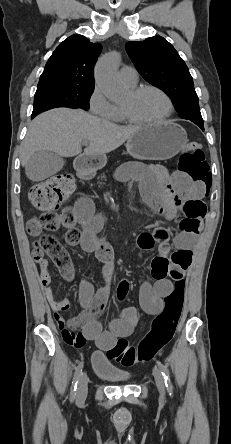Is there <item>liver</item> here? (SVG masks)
Segmentation results:
<instances>
[{"mask_svg": "<svg viewBox=\"0 0 231 444\" xmlns=\"http://www.w3.org/2000/svg\"><path fill=\"white\" fill-rule=\"evenodd\" d=\"M142 127L120 126L97 118L83 110L56 108L38 115L31 122L21 146V163L26 166L37 151H52L60 157L81 154L105 155L131 138Z\"/></svg>", "mask_w": 231, "mask_h": 444, "instance_id": "1", "label": "liver"}]
</instances>
